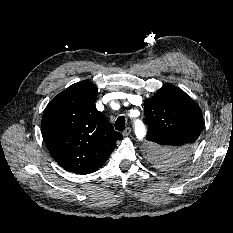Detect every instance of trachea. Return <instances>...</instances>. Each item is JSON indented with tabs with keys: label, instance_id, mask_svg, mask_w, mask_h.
I'll return each mask as SVG.
<instances>
[{
	"label": "trachea",
	"instance_id": "1",
	"mask_svg": "<svg viewBox=\"0 0 233 233\" xmlns=\"http://www.w3.org/2000/svg\"><path fill=\"white\" fill-rule=\"evenodd\" d=\"M115 129L118 131L125 130V117L124 116H120L117 118L115 122Z\"/></svg>",
	"mask_w": 233,
	"mask_h": 233
}]
</instances>
